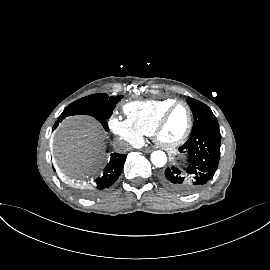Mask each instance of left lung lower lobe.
I'll return each mask as SVG.
<instances>
[{"label":"left lung lower lobe","instance_id":"1","mask_svg":"<svg viewBox=\"0 0 270 270\" xmlns=\"http://www.w3.org/2000/svg\"><path fill=\"white\" fill-rule=\"evenodd\" d=\"M220 145L219 127H205L192 133L187 142L179 148V152L185 155V160L178 159L177 163L165 170L163 183L184 194L201 189L217 170Z\"/></svg>","mask_w":270,"mask_h":270}]
</instances>
